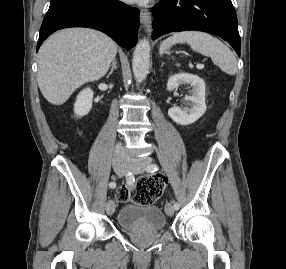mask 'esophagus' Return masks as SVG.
<instances>
[{"mask_svg":"<svg viewBox=\"0 0 286 269\" xmlns=\"http://www.w3.org/2000/svg\"><path fill=\"white\" fill-rule=\"evenodd\" d=\"M140 23L147 33L152 32V16L149 10L140 11Z\"/></svg>","mask_w":286,"mask_h":269,"instance_id":"34e87169","label":"esophagus"}]
</instances>
